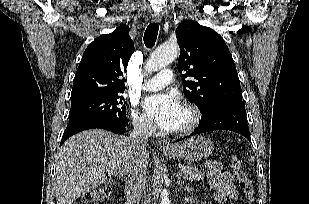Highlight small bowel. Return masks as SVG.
<instances>
[{"instance_id": "small-bowel-1", "label": "small bowel", "mask_w": 309, "mask_h": 204, "mask_svg": "<svg viewBox=\"0 0 309 204\" xmlns=\"http://www.w3.org/2000/svg\"><path fill=\"white\" fill-rule=\"evenodd\" d=\"M206 168L208 181L215 191L216 201L223 204L227 199L236 200L238 191L233 184L231 173L224 171L221 165L215 161L208 162Z\"/></svg>"}]
</instances>
